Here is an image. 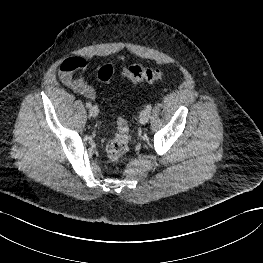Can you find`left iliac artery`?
Listing matches in <instances>:
<instances>
[{"label":"left iliac artery","mask_w":263,"mask_h":263,"mask_svg":"<svg viewBox=\"0 0 263 263\" xmlns=\"http://www.w3.org/2000/svg\"><path fill=\"white\" fill-rule=\"evenodd\" d=\"M151 109H152V105H151V104H148V105L146 106V110L150 111Z\"/></svg>","instance_id":"left-iliac-artery-1"}]
</instances>
